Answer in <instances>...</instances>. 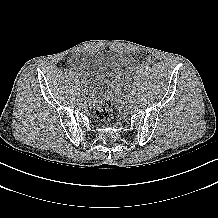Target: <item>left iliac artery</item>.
<instances>
[{"mask_svg": "<svg viewBox=\"0 0 218 218\" xmlns=\"http://www.w3.org/2000/svg\"><path fill=\"white\" fill-rule=\"evenodd\" d=\"M127 97H128V98L134 97V96H133V93H132V92L128 93V94H127Z\"/></svg>", "mask_w": 218, "mask_h": 218, "instance_id": "1", "label": "left iliac artery"}]
</instances>
